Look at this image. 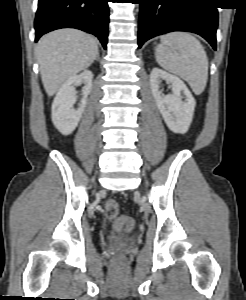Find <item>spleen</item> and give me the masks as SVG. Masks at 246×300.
Instances as JSON below:
<instances>
[{
	"instance_id": "spleen-1",
	"label": "spleen",
	"mask_w": 246,
	"mask_h": 300,
	"mask_svg": "<svg viewBox=\"0 0 246 300\" xmlns=\"http://www.w3.org/2000/svg\"><path fill=\"white\" fill-rule=\"evenodd\" d=\"M155 56L163 69L187 81L196 95L204 91L208 79V58L196 37L187 32L162 35Z\"/></svg>"
}]
</instances>
